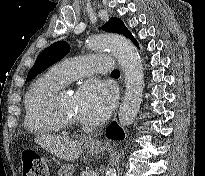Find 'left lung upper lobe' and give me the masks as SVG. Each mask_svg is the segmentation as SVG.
<instances>
[{
  "label": "left lung upper lobe",
  "mask_w": 205,
  "mask_h": 176,
  "mask_svg": "<svg viewBox=\"0 0 205 176\" xmlns=\"http://www.w3.org/2000/svg\"><path fill=\"white\" fill-rule=\"evenodd\" d=\"M102 29L106 32L123 34L125 37H128L131 33L124 25L123 21L116 17L110 18ZM69 50L70 46L65 41H58L44 49L38 55L35 64L30 69L27 80L32 79L40 72L61 60L69 52Z\"/></svg>",
  "instance_id": "obj_1"
}]
</instances>
